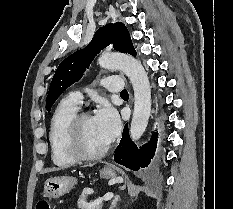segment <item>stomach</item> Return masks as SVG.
I'll return each instance as SVG.
<instances>
[{"label": "stomach", "instance_id": "stomach-1", "mask_svg": "<svg viewBox=\"0 0 233 209\" xmlns=\"http://www.w3.org/2000/svg\"><path fill=\"white\" fill-rule=\"evenodd\" d=\"M100 177L112 179L116 177V172L111 168L100 170ZM77 179L70 176H58L48 178L44 183V195L50 199H57L68 193L76 184Z\"/></svg>", "mask_w": 233, "mask_h": 209}]
</instances>
